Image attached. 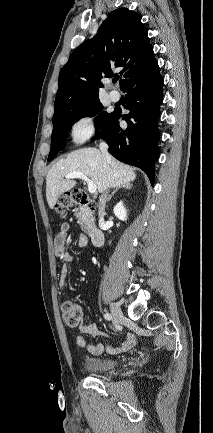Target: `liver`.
<instances>
[{
    "label": "liver",
    "mask_w": 213,
    "mask_h": 433,
    "mask_svg": "<svg viewBox=\"0 0 213 433\" xmlns=\"http://www.w3.org/2000/svg\"><path fill=\"white\" fill-rule=\"evenodd\" d=\"M71 172H81L93 181L99 193L115 188L136 179L134 169L117 159H107L94 147L78 149L52 166L46 177V198L50 208H54L59 196L71 190L76 181L64 179Z\"/></svg>",
    "instance_id": "liver-1"
}]
</instances>
